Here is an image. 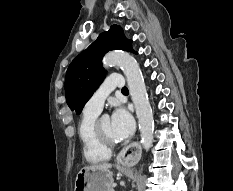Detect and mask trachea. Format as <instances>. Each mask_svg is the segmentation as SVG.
Instances as JSON below:
<instances>
[{
	"mask_svg": "<svg viewBox=\"0 0 233 191\" xmlns=\"http://www.w3.org/2000/svg\"><path fill=\"white\" fill-rule=\"evenodd\" d=\"M122 92H128L127 87H123V88H122Z\"/></svg>",
	"mask_w": 233,
	"mask_h": 191,
	"instance_id": "trachea-1",
	"label": "trachea"
}]
</instances>
